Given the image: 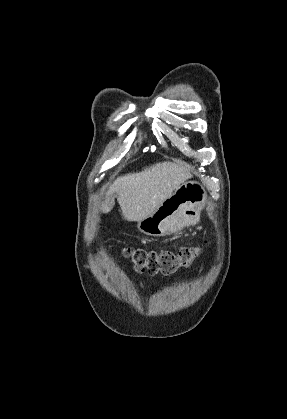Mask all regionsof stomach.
<instances>
[{
  "mask_svg": "<svg viewBox=\"0 0 287 419\" xmlns=\"http://www.w3.org/2000/svg\"><path fill=\"white\" fill-rule=\"evenodd\" d=\"M206 200V190L199 182H185L153 214L139 220L137 228L150 236L175 233L199 217Z\"/></svg>",
  "mask_w": 287,
  "mask_h": 419,
  "instance_id": "0dacf381",
  "label": "stomach"
}]
</instances>
